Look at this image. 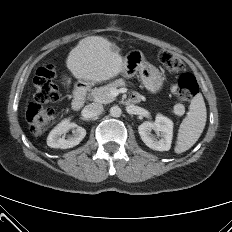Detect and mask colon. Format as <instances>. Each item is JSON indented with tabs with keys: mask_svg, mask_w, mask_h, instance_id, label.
Returning <instances> with one entry per match:
<instances>
[{
	"mask_svg": "<svg viewBox=\"0 0 232 232\" xmlns=\"http://www.w3.org/2000/svg\"><path fill=\"white\" fill-rule=\"evenodd\" d=\"M158 61L163 70L168 73L183 71L184 62L169 50L158 52ZM54 73L49 66L41 67L34 79V100L26 111V119L34 134H42L54 121V112L47 104L57 102L60 98L58 88L53 81ZM177 96L182 101L193 99L199 91L195 76L182 73L178 79Z\"/></svg>",
	"mask_w": 232,
	"mask_h": 232,
	"instance_id": "5ec220e1",
	"label": "colon"
}]
</instances>
